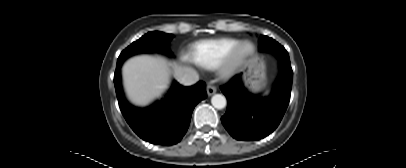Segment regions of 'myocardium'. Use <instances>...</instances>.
<instances>
[{
  "instance_id": "1",
  "label": "myocardium",
  "mask_w": 406,
  "mask_h": 168,
  "mask_svg": "<svg viewBox=\"0 0 406 168\" xmlns=\"http://www.w3.org/2000/svg\"><path fill=\"white\" fill-rule=\"evenodd\" d=\"M255 46L249 41L240 42L220 65V74L224 78L233 76L255 54Z\"/></svg>"
}]
</instances>
